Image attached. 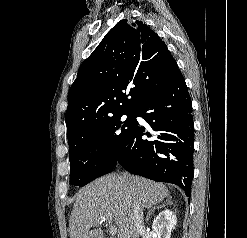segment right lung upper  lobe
I'll list each match as a JSON object with an SVG mask.
<instances>
[{
  "label": "right lung upper lobe",
  "mask_w": 247,
  "mask_h": 238,
  "mask_svg": "<svg viewBox=\"0 0 247 238\" xmlns=\"http://www.w3.org/2000/svg\"><path fill=\"white\" fill-rule=\"evenodd\" d=\"M178 65L160 37L141 21H119L81 64L65 114L69 146L87 129L135 112L165 87Z\"/></svg>",
  "instance_id": "obj_1"
}]
</instances>
